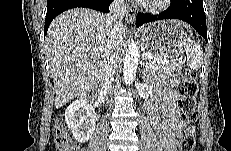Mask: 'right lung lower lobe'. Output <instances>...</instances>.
<instances>
[{
	"mask_svg": "<svg viewBox=\"0 0 231 151\" xmlns=\"http://www.w3.org/2000/svg\"><path fill=\"white\" fill-rule=\"evenodd\" d=\"M113 0H48L45 18L44 35L48 31L51 21L60 13L77 7L91 8L100 12L108 13Z\"/></svg>",
	"mask_w": 231,
	"mask_h": 151,
	"instance_id": "98d812e1",
	"label": "right lung lower lobe"
}]
</instances>
